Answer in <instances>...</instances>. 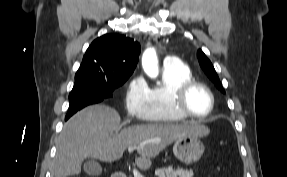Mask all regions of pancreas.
I'll return each instance as SVG.
<instances>
[{"label":"pancreas","instance_id":"pancreas-1","mask_svg":"<svg viewBox=\"0 0 287 177\" xmlns=\"http://www.w3.org/2000/svg\"><path fill=\"white\" fill-rule=\"evenodd\" d=\"M158 177H193L192 170H184L182 168L173 169L172 167L156 170Z\"/></svg>","mask_w":287,"mask_h":177}]
</instances>
